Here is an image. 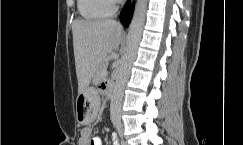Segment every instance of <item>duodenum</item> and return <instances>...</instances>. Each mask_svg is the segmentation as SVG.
Here are the masks:
<instances>
[{"mask_svg":"<svg viewBox=\"0 0 243 145\" xmlns=\"http://www.w3.org/2000/svg\"><path fill=\"white\" fill-rule=\"evenodd\" d=\"M107 95H108V98H112V90L111 89L108 90Z\"/></svg>","mask_w":243,"mask_h":145,"instance_id":"obj_1","label":"duodenum"}]
</instances>
